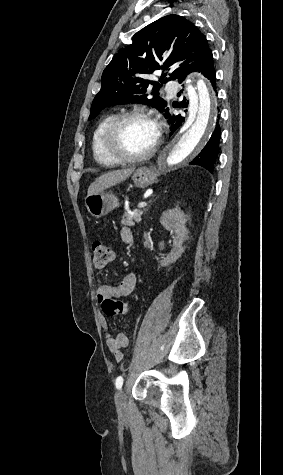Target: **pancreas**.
Here are the masks:
<instances>
[{
  "label": "pancreas",
  "mask_w": 283,
  "mask_h": 475,
  "mask_svg": "<svg viewBox=\"0 0 283 475\" xmlns=\"http://www.w3.org/2000/svg\"><path fill=\"white\" fill-rule=\"evenodd\" d=\"M142 214V210H134V214L131 216V214H128L125 210L123 220H121V226H135V222L136 224L141 222Z\"/></svg>",
  "instance_id": "pancreas-1"
}]
</instances>
